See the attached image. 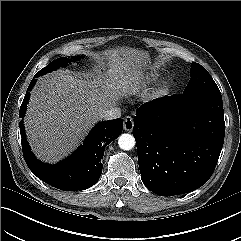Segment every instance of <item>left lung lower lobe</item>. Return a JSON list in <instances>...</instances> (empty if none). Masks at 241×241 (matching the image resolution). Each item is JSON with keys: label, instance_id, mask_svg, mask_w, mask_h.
<instances>
[{"label": "left lung lower lobe", "instance_id": "obj_1", "mask_svg": "<svg viewBox=\"0 0 241 241\" xmlns=\"http://www.w3.org/2000/svg\"><path fill=\"white\" fill-rule=\"evenodd\" d=\"M133 135L141 177L152 192L173 196L198 189L214 172L224 142L221 94L183 93L146 102L137 109Z\"/></svg>", "mask_w": 241, "mask_h": 241}]
</instances>
